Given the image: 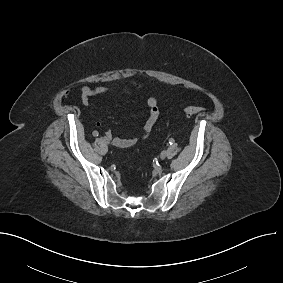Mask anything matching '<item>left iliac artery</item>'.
Listing matches in <instances>:
<instances>
[{
  "label": "left iliac artery",
  "instance_id": "left-iliac-artery-1",
  "mask_svg": "<svg viewBox=\"0 0 283 283\" xmlns=\"http://www.w3.org/2000/svg\"><path fill=\"white\" fill-rule=\"evenodd\" d=\"M173 143H174V139H173V138H170V139H169V144L172 145Z\"/></svg>",
  "mask_w": 283,
  "mask_h": 283
}]
</instances>
